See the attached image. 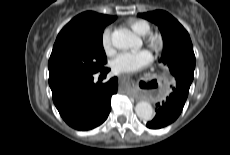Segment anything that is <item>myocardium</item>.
Here are the masks:
<instances>
[{
	"mask_svg": "<svg viewBox=\"0 0 230 155\" xmlns=\"http://www.w3.org/2000/svg\"><path fill=\"white\" fill-rule=\"evenodd\" d=\"M149 41L152 47L157 48L159 46V38L157 36H151Z\"/></svg>",
	"mask_w": 230,
	"mask_h": 155,
	"instance_id": "1",
	"label": "myocardium"
}]
</instances>
